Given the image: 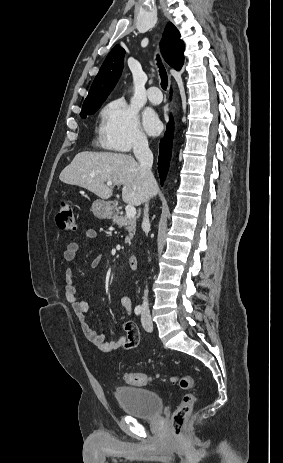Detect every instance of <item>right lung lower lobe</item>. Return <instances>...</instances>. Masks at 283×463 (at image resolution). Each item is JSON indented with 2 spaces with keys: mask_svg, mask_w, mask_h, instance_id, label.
<instances>
[{
  "mask_svg": "<svg viewBox=\"0 0 283 463\" xmlns=\"http://www.w3.org/2000/svg\"><path fill=\"white\" fill-rule=\"evenodd\" d=\"M173 130L174 125L171 118L167 125L165 136L161 139L159 145L158 172L161 184H163V181L165 180L171 158Z\"/></svg>",
  "mask_w": 283,
  "mask_h": 463,
  "instance_id": "1",
  "label": "right lung lower lobe"
}]
</instances>
